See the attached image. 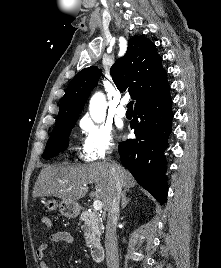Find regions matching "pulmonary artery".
Wrapping results in <instances>:
<instances>
[{
  "label": "pulmonary artery",
  "mask_w": 221,
  "mask_h": 268,
  "mask_svg": "<svg viewBox=\"0 0 221 268\" xmlns=\"http://www.w3.org/2000/svg\"><path fill=\"white\" fill-rule=\"evenodd\" d=\"M127 103V100L122 99L120 101L119 106L116 109V114L119 117H125L126 116V109H125V104Z\"/></svg>",
  "instance_id": "1"
}]
</instances>
